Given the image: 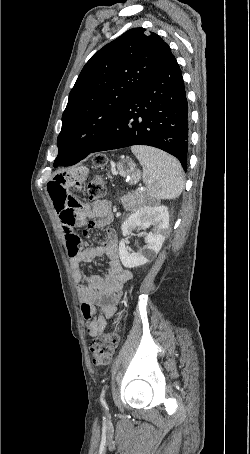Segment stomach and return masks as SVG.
<instances>
[{"mask_svg": "<svg viewBox=\"0 0 250 454\" xmlns=\"http://www.w3.org/2000/svg\"><path fill=\"white\" fill-rule=\"evenodd\" d=\"M116 172L127 177L130 183H137L140 179V172L135 169V164L129 159H123L116 165Z\"/></svg>", "mask_w": 250, "mask_h": 454, "instance_id": "stomach-1", "label": "stomach"}]
</instances>
